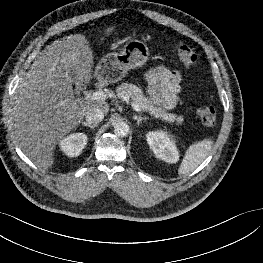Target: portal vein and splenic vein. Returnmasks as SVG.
<instances>
[{"mask_svg": "<svg viewBox=\"0 0 263 263\" xmlns=\"http://www.w3.org/2000/svg\"><path fill=\"white\" fill-rule=\"evenodd\" d=\"M90 98L92 100H96V101H104L107 99V94L104 91H95L93 93L90 94ZM132 108L136 111V112H140L141 109L139 107L138 104L132 102Z\"/></svg>", "mask_w": 263, "mask_h": 263, "instance_id": "1", "label": "portal vein and splenic vein"}]
</instances>
